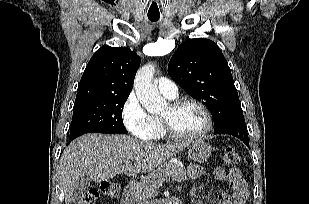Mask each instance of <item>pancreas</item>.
<instances>
[{"label":"pancreas","instance_id":"1","mask_svg":"<svg viewBox=\"0 0 309 204\" xmlns=\"http://www.w3.org/2000/svg\"><path fill=\"white\" fill-rule=\"evenodd\" d=\"M170 179L177 182L186 181L185 169L171 163L158 167L136 184L135 200L138 204H145V201L157 195L160 184Z\"/></svg>","mask_w":309,"mask_h":204}]
</instances>
